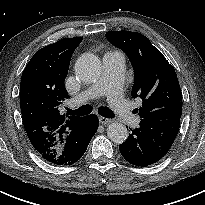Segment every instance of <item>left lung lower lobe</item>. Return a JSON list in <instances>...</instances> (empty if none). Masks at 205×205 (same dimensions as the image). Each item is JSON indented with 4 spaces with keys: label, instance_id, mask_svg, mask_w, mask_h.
<instances>
[{
    "label": "left lung lower lobe",
    "instance_id": "left-lung-lower-lobe-1",
    "mask_svg": "<svg viewBox=\"0 0 205 205\" xmlns=\"http://www.w3.org/2000/svg\"><path fill=\"white\" fill-rule=\"evenodd\" d=\"M179 127L180 119L141 120L139 128L130 129L131 133L119 145V150L132 165L145 167L154 164L169 151Z\"/></svg>",
    "mask_w": 205,
    "mask_h": 205
}]
</instances>
